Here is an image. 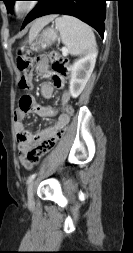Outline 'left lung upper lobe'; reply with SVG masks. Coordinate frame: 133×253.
Masks as SVG:
<instances>
[{
	"mask_svg": "<svg viewBox=\"0 0 133 253\" xmlns=\"http://www.w3.org/2000/svg\"><path fill=\"white\" fill-rule=\"evenodd\" d=\"M0 1H4L7 10H8L9 12H11L14 2L17 1V0H0Z\"/></svg>",
	"mask_w": 133,
	"mask_h": 253,
	"instance_id": "1",
	"label": "left lung upper lobe"
}]
</instances>
